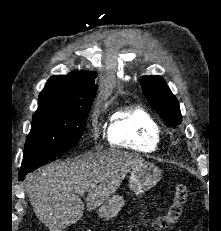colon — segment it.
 Instances as JSON below:
<instances>
[{"instance_id":"colon-1","label":"colon","mask_w":221,"mask_h":231,"mask_svg":"<svg viewBox=\"0 0 221 231\" xmlns=\"http://www.w3.org/2000/svg\"><path fill=\"white\" fill-rule=\"evenodd\" d=\"M189 195V187L186 184L179 183L174 190L173 202L170 204L167 211L156 216L152 222V226L156 230H160L176 224L184 210Z\"/></svg>"}]
</instances>
